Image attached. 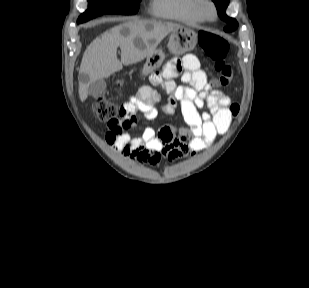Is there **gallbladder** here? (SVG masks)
<instances>
[{"instance_id": "bac80fb5", "label": "gallbladder", "mask_w": 309, "mask_h": 288, "mask_svg": "<svg viewBox=\"0 0 309 288\" xmlns=\"http://www.w3.org/2000/svg\"><path fill=\"white\" fill-rule=\"evenodd\" d=\"M106 82L104 79H99L89 84L88 94L91 96H98L106 90Z\"/></svg>"}]
</instances>
